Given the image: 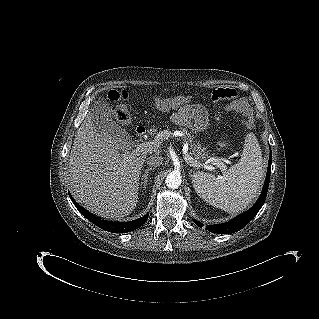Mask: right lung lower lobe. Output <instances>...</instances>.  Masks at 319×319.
<instances>
[{"label":"right lung lower lobe","instance_id":"right-lung-lower-lobe-1","mask_svg":"<svg viewBox=\"0 0 319 319\" xmlns=\"http://www.w3.org/2000/svg\"><path fill=\"white\" fill-rule=\"evenodd\" d=\"M70 195V194H69ZM70 198L76 208L92 223H94L99 228L109 231L112 233H126L129 231L136 230L140 226H142L148 219V214L145 216L130 221V222H113V221H106L102 220L101 218L95 217L93 214L89 213L87 210L79 206V204L73 199V197L70 195Z\"/></svg>","mask_w":319,"mask_h":319}]
</instances>
